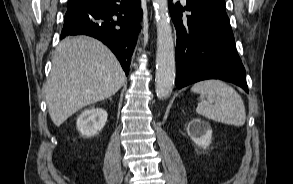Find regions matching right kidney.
<instances>
[{
    "label": "right kidney",
    "instance_id": "obj_1",
    "mask_svg": "<svg viewBox=\"0 0 293 184\" xmlns=\"http://www.w3.org/2000/svg\"><path fill=\"white\" fill-rule=\"evenodd\" d=\"M107 116L102 108L87 109L77 117V129L86 137L97 135L103 129Z\"/></svg>",
    "mask_w": 293,
    "mask_h": 184
}]
</instances>
